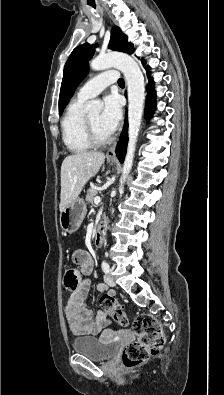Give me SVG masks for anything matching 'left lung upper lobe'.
<instances>
[{"instance_id": "5c2ea615", "label": "left lung upper lobe", "mask_w": 224, "mask_h": 395, "mask_svg": "<svg viewBox=\"0 0 224 395\" xmlns=\"http://www.w3.org/2000/svg\"><path fill=\"white\" fill-rule=\"evenodd\" d=\"M108 47L112 50L122 51L132 54L134 49L131 43H128V38L117 27L112 28L111 39ZM95 49L93 45L84 43L73 50L69 59L67 60L63 80L61 84L59 97V114L61 115L65 106L72 97L76 87L83 80L88 72V61L94 55Z\"/></svg>"}]
</instances>
